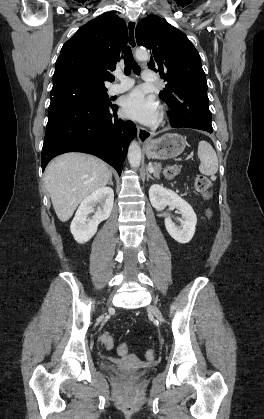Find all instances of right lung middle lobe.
Listing matches in <instances>:
<instances>
[{"label":"right lung middle lobe","mask_w":264,"mask_h":419,"mask_svg":"<svg viewBox=\"0 0 264 419\" xmlns=\"http://www.w3.org/2000/svg\"><path fill=\"white\" fill-rule=\"evenodd\" d=\"M107 89H71L60 92L56 95H52L51 103L48 108L51 109L55 105L69 101L87 102L97 105L109 106L111 102L109 96L106 93Z\"/></svg>","instance_id":"right-lung-middle-lobe-1"}]
</instances>
